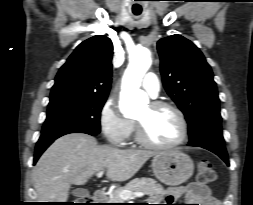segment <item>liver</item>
I'll return each mask as SVG.
<instances>
[{"label": "liver", "mask_w": 253, "mask_h": 205, "mask_svg": "<svg viewBox=\"0 0 253 205\" xmlns=\"http://www.w3.org/2000/svg\"><path fill=\"white\" fill-rule=\"evenodd\" d=\"M156 153L147 150H120L98 145L87 134L72 133L57 139L33 169L34 188L41 202H67L72 184L84 185L95 173L106 169L115 182L132 178Z\"/></svg>", "instance_id": "6515ba94"}]
</instances>
